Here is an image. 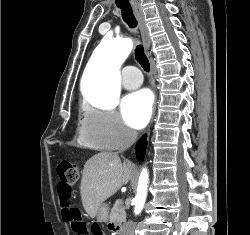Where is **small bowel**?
<instances>
[{"mask_svg": "<svg viewBox=\"0 0 250 235\" xmlns=\"http://www.w3.org/2000/svg\"><path fill=\"white\" fill-rule=\"evenodd\" d=\"M82 235H87V234H82ZM92 235H101V233H99L96 230H92Z\"/></svg>", "mask_w": 250, "mask_h": 235, "instance_id": "1", "label": "small bowel"}]
</instances>
